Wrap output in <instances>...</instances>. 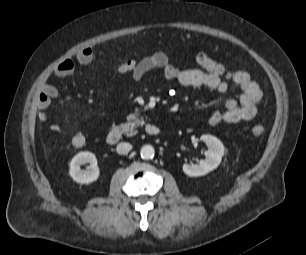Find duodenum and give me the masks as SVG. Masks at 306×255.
Listing matches in <instances>:
<instances>
[{"mask_svg":"<svg viewBox=\"0 0 306 255\" xmlns=\"http://www.w3.org/2000/svg\"><path fill=\"white\" fill-rule=\"evenodd\" d=\"M132 128L129 124L127 125H117L112 127L106 133V142L110 145L117 144L126 134L132 133ZM145 132L149 136H157L160 134V129L153 124H148L145 127Z\"/></svg>","mask_w":306,"mask_h":255,"instance_id":"obj_1","label":"duodenum"}]
</instances>
